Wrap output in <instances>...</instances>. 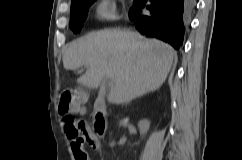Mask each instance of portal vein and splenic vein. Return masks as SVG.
I'll list each match as a JSON object with an SVG mask.
<instances>
[{
  "mask_svg": "<svg viewBox=\"0 0 242 160\" xmlns=\"http://www.w3.org/2000/svg\"><path fill=\"white\" fill-rule=\"evenodd\" d=\"M108 80H109L108 86H109L110 88H112L113 85H114V82H113L112 79L109 78V77H108Z\"/></svg>",
  "mask_w": 242,
  "mask_h": 160,
  "instance_id": "1",
  "label": "portal vein and splenic vein"
}]
</instances>
